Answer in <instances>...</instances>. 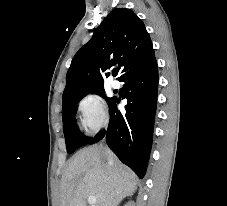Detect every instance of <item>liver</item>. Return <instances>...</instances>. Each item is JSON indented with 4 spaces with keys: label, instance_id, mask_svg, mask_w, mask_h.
I'll return each instance as SVG.
<instances>
[{
    "label": "liver",
    "instance_id": "6515ba94",
    "mask_svg": "<svg viewBox=\"0 0 227 206\" xmlns=\"http://www.w3.org/2000/svg\"><path fill=\"white\" fill-rule=\"evenodd\" d=\"M136 184V175L110 150L89 146L72 157L62 177L59 206H86L91 195L96 198L95 206H118L135 192Z\"/></svg>",
    "mask_w": 227,
    "mask_h": 206
}]
</instances>
